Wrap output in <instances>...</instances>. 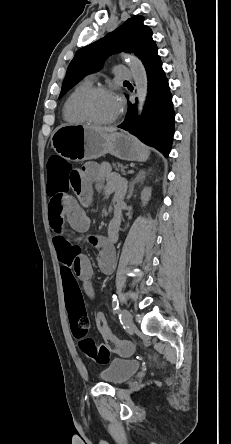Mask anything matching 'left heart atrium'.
Returning a JSON list of instances; mask_svg holds the SVG:
<instances>
[{
  "instance_id": "1",
  "label": "left heart atrium",
  "mask_w": 231,
  "mask_h": 444,
  "mask_svg": "<svg viewBox=\"0 0 231 444\" xmlns=\"http://www.w3.org/2000/svg\"><path fill=\"white\" fill-rule=\"evenodd\" d=\"M114 99H115V102H116V105H117L118 109L120 110V108H121V106H122V100H121V98L118 97V96H114Z\"/></svg>"
}]
</instances>
